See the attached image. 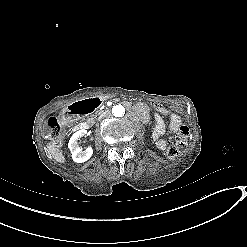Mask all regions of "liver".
<instances>
[{
	"label": "liver",
	"instance_id": "obj_1",
	"mask_svg": "<svg viewBox=\"0 0 247 247\" xmlns=\"http://www.w3.org/2000/svg\"><path fill=\"white\" fill-rule=\"evenodd\" d=\"M47 149L50 153V155L52 156L53 159H55V161L59 162V163H64L65 162V157L62 153V151L56 147L55 144H47Z\"/></svg>",
	"mask_w": 247,
	"mask_h": 247
}]
</instances>
